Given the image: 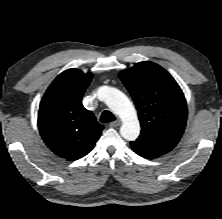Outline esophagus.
I'll return each mask as SVG.
<instances>
[{"label":"esophagus","mask_w":222,"mask_h":219,"mask_svg":"<svg viewBox=\"0 0 222 219\" xmlns=\"http://www.w3.org/2000/svg\"><path fill=\"white\" fill-rule=\"evenodd\" d=\"M121 124L120 120H116L110 123V127L114 128V127H118Z\"/></svg>","instance_id":"esophagus-1"}]
</instances>
